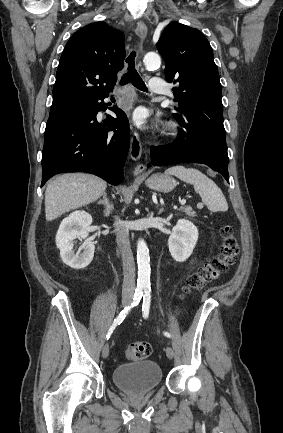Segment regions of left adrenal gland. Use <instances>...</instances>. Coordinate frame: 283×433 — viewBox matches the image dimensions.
<instances>
[{"instance_id": "a2214340", "label": "left adrenal gland", "mask_w": 283, "mask_h": 433, "mask_svg": "<svg viewBox=\"0 0 283 433\" xmlns=\"http://www.w3.org/2000/svg\"><path fill=\"white\" fill-rule=\"evenodd\" d=\"M162 210H163V208H159L158 214H161Z\"/></svg>"}]
</instances>
